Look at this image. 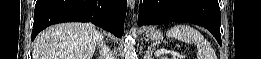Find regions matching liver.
Masks as SVG:
<instances>
[{"instance_id":"liver-1","label":"liver","mask_w":261,"mask_h":59,"mask_svg":"<svg viewBox=\"0 0 261 59\" xmlns=\"http://www.w3.org/2000/svg\"><path fill=\"white\" fill-rule=\"evenodd\" d=\"M96 27L91 23H62L41 32L34 41L33 59H91Z\"/></svg>"}]
</instances>
